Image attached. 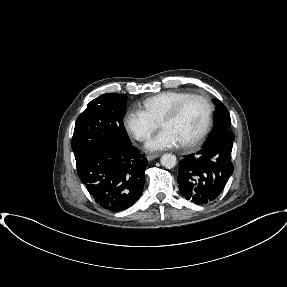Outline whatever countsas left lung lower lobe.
<instances>
[{
	"label": "left lung lower lobe",
	"mask_w": 287,
	"mask_h": 287,
	"mask_svg": "<svg viewBox=\"0 0 287 287\" xmlns=\"http://www.w3.org/2000/svg\"><path fill=\"white\" fill-rule=\"evenodd\" d=\"M234 138L233 132L225 131L180 161L177 181L186 199L207 204L219 196L233 173L230 157Z\"/></svg>",
	"instance_id": "left-lung-lower-lobe-1"
}]
</instances>
